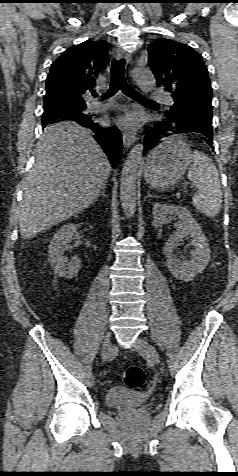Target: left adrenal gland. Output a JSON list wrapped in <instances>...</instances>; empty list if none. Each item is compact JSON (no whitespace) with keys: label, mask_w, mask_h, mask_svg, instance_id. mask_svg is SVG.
Segmentation results:
<instances>
[{"label":"left adrenal gland","mask_w":238,"mask_h":476,"mask_svg":"<svg viewBox=\"0 0 238 476\" xmlns=\"http://www.w3.org/2000/svg\"><path fill=\"white\" fill-rule=\"evenodd\" d=\"M153 197H158V196H157V195H152V194L150 193V191H148L147 196L145 197V200H146L147 198H153Z\"/></svg>","instance_id":"left-adrenal-gland-1"}]
</instances>
